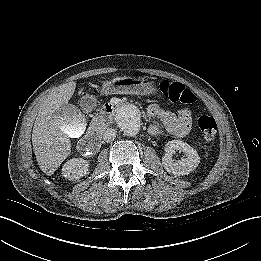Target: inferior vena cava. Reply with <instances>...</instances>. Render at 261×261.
Returning a JSON list of instances; mask_svg holds the SVG:
<instances>
[{"instance_id":"602c4592","label":"inferior vena cava","mask_w":261,"mask_h":261,"mask_svg":"<svg viewBox=\"0 0 261 261\" xmlns=\"http://www.w3.org/2000/svg\"><path fill=\"white\" fill-rule=\"evenodd\" d=\"M117 131L115 129H107L103 134V139L106 142H110L115 139Z\"/></svg>"}]
</instances>
